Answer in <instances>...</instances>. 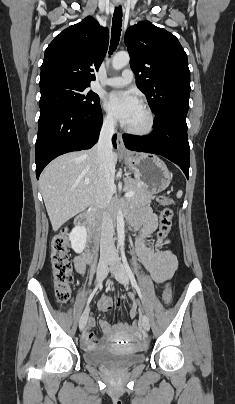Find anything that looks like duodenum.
I'll use <instances>...</instances> for the list:
<instances>
[{
	"instance_id": "obj_1",
	"label": "duodenum",
	"mask_w": 235,
	"mask_h": 404,
	"mask_svg": "<svg viewBox=\"0 0 235 404\" xmlns=\"http://www.w3.org/2000/svg\"><path fill=\"white\" fill-rule=\"evenodd\" d=\"M94 209H91L86 215L80 217L76 221V225L79 228H83L87 231L85 249L93 260L94 254L97 250L99 243V235L95 227V223L92 222Z\"/></svg>"
}]
</instances>
